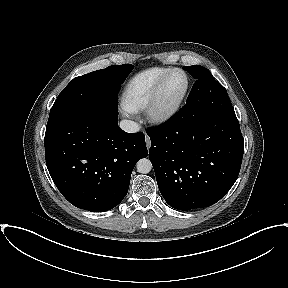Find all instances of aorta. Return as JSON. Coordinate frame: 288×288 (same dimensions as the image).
<instances>
[{
  "label": "aorta",
  "instance_id": "obj_1",
  "mask_svg": "<svg viewBox=\"0 0 288 288\" xmlns=\"http://www.w3.org/2000/svg\"><path fill=\"white\" fill-rule=\"evenodd\" d=\"M136 167L139 173L147 174L152 169V163L150 162L149 159L142 158L137 162Z\"/></svg>",
  "mask_w": 288,
  "mask_h": 288
}]
</instances>
